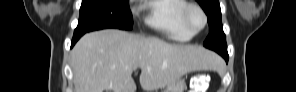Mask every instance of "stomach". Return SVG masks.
Segmentation results:
<instances>
[{
    "mask_svg": "<svg viewBox=\"0 0 296 92\" xmlns=\"http://www.w3.org/2000/svg\"><path fill=\"white\" fill-rule=\"evenodd\" d=\"M186 90V83L184 80L179 79L178 81L167 86L164 92H184Z\"/></svg>",
    "mask_w": 296,
    "mask_h": 92,
    "instance_id": "0dacf381",
    "label": "stomach"
}]
</instances>
